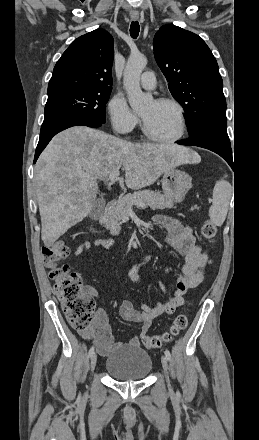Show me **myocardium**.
I'll return each instance as SVG.
<instances>
[{"label":"myocardium","instance_id":"myocardium-1","mask_svg":"<svg viewBox=\"0 0 259 440\" xmlns=\"http://www.w3.org/2000/svg\"><path fill=\"white\" fill-rule=\"evenodd\" d=\"M155 102L159 103V104H170L176 108L177 113H178V119H179V131L175 136L170 137V138L158 137L150 131L144 118L141 117L142 131H143L144 135L146 136L147 139H149L153 142L161 143V144H171V143L177 142L178 140H180L184 136V134L186 132L187 125H186V117H185L184 107L182 106V104L180 102H178L177 100H175L173 98L162 97V98L156 99Z\"/></svg>","mask_w":259,"mask_h":440}]
</instances>
